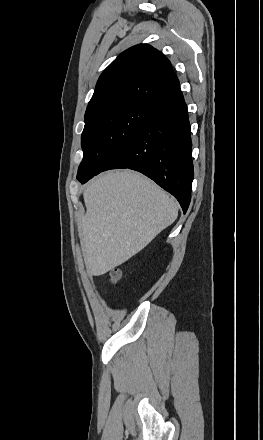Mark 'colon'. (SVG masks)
<instances>
[{"label":"colon","mask_w":263,"mask_h":440,"mask_svg":"<svg viewBox=\"0 0 263 440\" xmlns=\"http://www.w3.org/2000/svg\"><path fill=\"white\" fill-rule=\"evenodd\" d=\"M125 273L122 268L115 267L110 272V280L112 283H118L120 280H122L125 277Z\"/></svg>","instance_id":"obj_1"}]
</instances>
